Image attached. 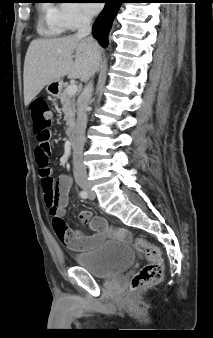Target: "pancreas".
<instances>
[{"label": "pancreas", "mask_w": 213, "mask_h": 338, "mask_svg": "<svg viewBox=\"0 0 213 338\" xmlns=\"http://www.w3.org/2000/svg\"><path fill=\"white\" fill-rule=\"evenodd\" d=\"M62 111L64 112V121H66V126L68 130L74 127L75 125V113H76V103L75 97L73 95H69L66 92V89L63 90L59 95Z\"/></svg>", "instance_id": "obj_1"}]
</instances>
